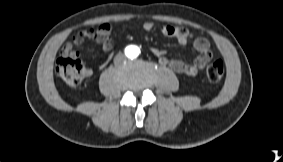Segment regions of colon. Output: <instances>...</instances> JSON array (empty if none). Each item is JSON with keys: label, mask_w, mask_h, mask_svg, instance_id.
I'll return each instance as SVG.
<instances>
[{"label": "colon", "mask_w": 283, "mask_h": 162, "mask_svg": "<svg viewBox=\"0 0 283 162\" xmlns=\"http://www.w3.org/2000/svg\"><path fill=\"white\" fill-rule=\"evenodd\" d=\"M55 73L68 86L77 87L87 77L89 70L79 56H61L56 61ZM223 75V62L221 60L212 61L207 68V78L209 81L219 83Z\"/></svg>", "instance_id": "colon-1"}]
</instances>
